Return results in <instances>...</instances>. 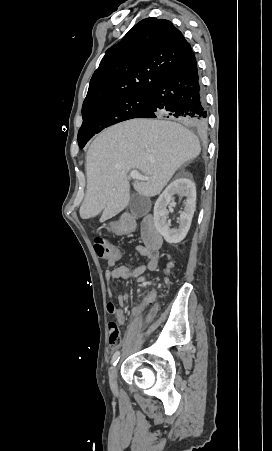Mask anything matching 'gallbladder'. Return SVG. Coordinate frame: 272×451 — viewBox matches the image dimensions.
Here are the masks:
<instances>
[{"instance_id":"bac80fb5","label":"gallbladder","mask_w":272,"mask_h":451,"mask_svg":"<svg viewBox=\"0 0 272 451\" xmlns=\"http://www.w3.org/2000/svg\"><path fill=\"white\" fill-rule=\"evenodd\" d=\"M129 210L132 216L136 218H142L145 214H148L149 208L147 206V200H144L139 194H133L129 202Z\"/></svg>"}]
</instances>
